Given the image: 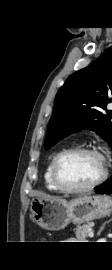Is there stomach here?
<instances>
[{
	"label": "stomach",
	"mask_w": 112,
	"mask_h": 270,
	"mask_svg": "<svg viewBox=\"0 0 112 270\" xmlns=\"http://www.w3.org/2000/svg\"><path fill=\"white\" fill-rule=\"evenodd\" d=\"M112 199L104 195H83L67 201L44 197L31 202L34 221L46 230L64 229L70 222L81 224L109 215Z\"/></svg>",
	"instance_id": "stomach-1"
}]
</instances>
